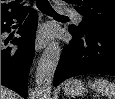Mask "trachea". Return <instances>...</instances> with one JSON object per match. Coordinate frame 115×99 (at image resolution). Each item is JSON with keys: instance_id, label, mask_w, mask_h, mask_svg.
I'll return each instance as SVG.
<instances>
[{"instance_id": "trachea-1", "label": "trachea", "mask_w": 115, "mask_h": 99, "mask_svg": "<svg viewBox=\"0 0 115 99\" xmlns=\"http://www.w3.org/2000/svg\"><path fill=\"white\" fill-rule=\"evenodd\" d=\"M37 7L49 16L67 18V16H63L55 12L48 0H37Z\"/></svg>"}]
</instances>
